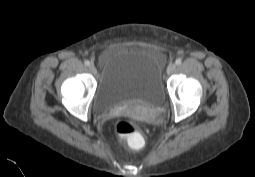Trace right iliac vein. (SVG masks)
I'll list each match as a JSON object with an SVG mask.
<instances>
[{
    "label": "right iliac vein",
    "mask_w": 255,
    "mask_h": 177,
    "mask_svg": "<svg viewBox=\"0 0 255 177\" xmlns=\"http://www.w3.org/2000/svg\"><path fill=\"white\" fill-rule=\"evenodd\" d=\"M89 71L93 74L96 75L97 74V69L94 65H90L89 66Z\"/></svg>",
    "instance_id": "obj_1"
}]
</instances>
